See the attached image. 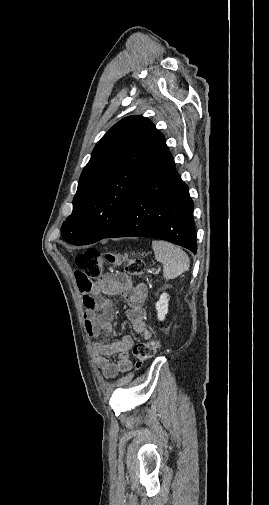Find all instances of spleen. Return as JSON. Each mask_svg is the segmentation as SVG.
<instances>
[{"label":"spleen","mask_w":269,"mask_h":505,"mask_svg":"<svg viewBox=\"0 0 269 505\" xmlns=\"http://www.w3.org/2000/svg\"><path fill=\"white\" fill-rule=\"evenodd\" d=\"M155 259L163 264L166 279H173L189 270L190 259L178 246L163 240L152 241Z\"/></svg>","instance_id":"spleen-1"}]
</instances>
